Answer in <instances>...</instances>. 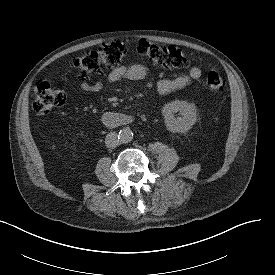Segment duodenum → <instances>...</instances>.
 <instances>
[{
	"instance_id": "1",
	"label": "duodenum",
	"mask_w": 275,
	"mask_h": 275,
	"mask_svg": "<svg viewBox=\"0 0 275 275\" xmlns=\"http://www.w3.org/2000/svg\"><path fill=\"white\" fill-rule=\"evenodd\" d=\"M102 123L107 127H122L133 123L134 118L116 112H105L101 117Z\"/></svg>"
}]
</instances>
